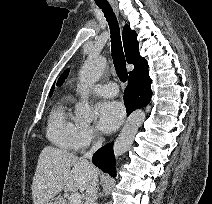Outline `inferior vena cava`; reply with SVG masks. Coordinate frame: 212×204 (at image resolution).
<instances>
[{
  "instance_id": "1",
  "label": "inferior vena cava",
  "mask_w": 212,
  "mask_h": 204,
  "mask_svg": "<svg viewBox=\"0 0 212 204\" xmlns=\"http://www.w3.org/2000/svg\"><path fill=\"white\" fill-rule=\"evenodd\" d=\"M102 143L103 138H98V140L93 143L91 149L81 157L82 161L90 167V175L85 194V204H97V192L99 189L98 177L96 170L93 168L92 164L89 163L88 159L92 158L93 154L102 146Z\"/></svg>"
}]
</instances>
